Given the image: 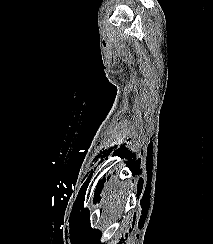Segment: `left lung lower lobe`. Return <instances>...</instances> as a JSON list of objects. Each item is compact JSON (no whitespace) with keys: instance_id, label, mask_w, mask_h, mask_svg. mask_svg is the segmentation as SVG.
I'll return each instance as SVG.
<instances>
[{"instance_id":"left-lung-lower-lobe-1","label":"left lung lower lobe","mask_w":213,"mask_h":244,"mask_svg":"<svg viewBox=\"0 0 213 244\" xmlns=\"http://www.w3.org/2000/svg\"><path fill=\"white\" fill-rule=\"evenodd\" d=\"M104 182V181H103ZM103 182H100V184L98 185L97 189H96V197H98L99 195V191H101V187H102V184ZM99 199V198H98Z\"/></svg>"}]
</instances>
